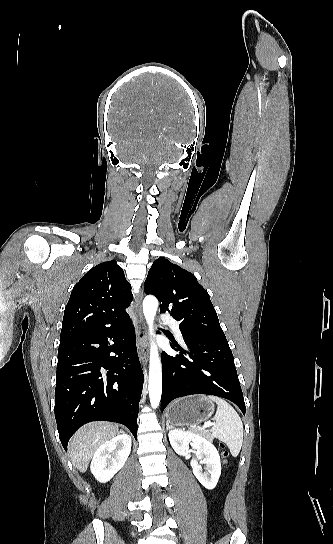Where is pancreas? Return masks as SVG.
I'll return each mask as SVG.
<instances>
[{
  "label": "pancreas",
  "instance_id": "obj_1",
  "mask_svg": "<svg viewBox=\"0 0 333 544\" xmlns=\"http://www.w3.org/2000/svg\"><path fill=\"white\" fill-rule=\"evenodd\" d=\"M199 434L206 437L207 439H212V436L210 435L209 431L199 430Z\"/></svg>",
  "mask_w": 333,
  "mask_h": 544
}]
</instances>
